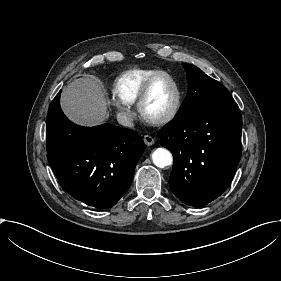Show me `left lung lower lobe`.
<instances>
[{
  "mask_svg": "<svg viewBox=\"0 0 281 281\" xmlns=\"http://www.w3.org/2000/svg\"><path fill=\"white\" fill-rule=\"evenodd\" d=\"M241 129L233 103L177 117L159 131L174 157L169 184L178 199L203 207L227 189L241 156Z\"/></svg>",
  "mask_w": 281,
  "mask_h": 281,
  "instance_id": "0a47b994",
  "label": "left lung lower lobe"
}]
</instances>
